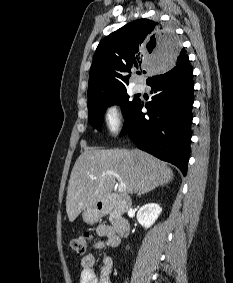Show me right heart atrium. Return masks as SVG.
<instances>
[{
	"mask_svg": "<svg viewBox=\"0 0 233 283\" xmlns=\"http://www.w3.org/2000/svg\"><path fill=\"white\" fill-rule=\"evenodd\" d=\"M103 122L109 136H116L122 129L124 116L120 105L110 103L103 112Z\"/></svg>",
	"mask_w": 233,
	"mask_h": 283,
	"instance_id": "right-heart-atrium-1",
	"label": "right heart atrium"
}]
</instances>
